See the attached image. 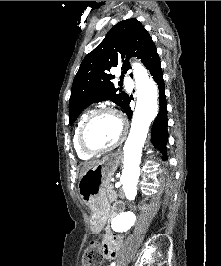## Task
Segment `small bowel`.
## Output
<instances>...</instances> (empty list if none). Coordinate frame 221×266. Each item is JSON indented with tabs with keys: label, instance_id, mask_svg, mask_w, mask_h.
Wrapping results in <instances>:
<instances>
[{
	"label": "small bowel",
	"instance_id": "obj_1",
	"mask_svg": "<svg viewBox=\"0 0 221 266\" xmlns=\"http://www.w3.org/2000/svg\"><path fill=\"white\" fill-rule=\"evenodd\" d=\"M117 216V213L113 214V218ZM123 242V237L119 233L108 232L103 238V255L107 259L115 258L120 251V247Z\"/></svg>",
	"mask_w": 221,
	"mask_h": 266
}]
</instances>
